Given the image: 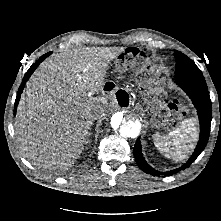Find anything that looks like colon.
I'll return each instance as SVG.
<instances>
[{
  "label": "colon",
  "instance_id": "obj_1",
  "mask_svg": "<svg viewBox=\"0 0 221 221\" xmlns=\"http://www.w3.org/2000/svg\"><path fill=\"white\" fill-rule=\"evenodd\" d=\"M143 56L137 49L128 50L123 56V64L126 66L132 65L135 61H142Z\"/></svg>",
  "mask_w": 221,
  "mask_h": 221
}]
</instances>
